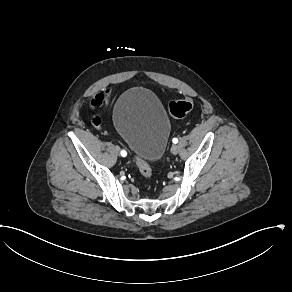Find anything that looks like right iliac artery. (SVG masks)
Instances as JSON below:
<instances>
[{
  "mask_svg": "<svg viewBox=\"0 0 292 292\" xmlns=\"http://www.w3.org/2000/svg\"><path fill=\"white\" fill-rule=\"evenodd\" d=\"M121 155H122L123 157H125V156L127 155V152H126L125 150H122V151H121Z\"/></svg>",
  "mask_w": 292,
  "mask_h": 292,
  "instance_id": "obj_1",
  "label": "right iliac artery"
}]
</instances>
